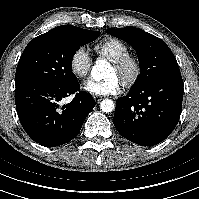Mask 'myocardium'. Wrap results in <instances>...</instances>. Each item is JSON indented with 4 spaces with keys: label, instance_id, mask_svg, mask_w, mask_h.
<instances>
[{
    "label": "myocardium",
    "instance_id": "f54148a6",
    "mask_svg": "<svg viewBox=\"0 0 199 199\" xmlns=\"http://www.w3.org/2000/svg\"><path fill=\"white\" fill-rule=\"evenodd\" d=\"M112 66L121 74L125 85L133 84L141 71L138 57L129 53L112 62Z\"/></svg>",
    "mask_w": 199,
    "mask_h": 199
}]
</instances>
